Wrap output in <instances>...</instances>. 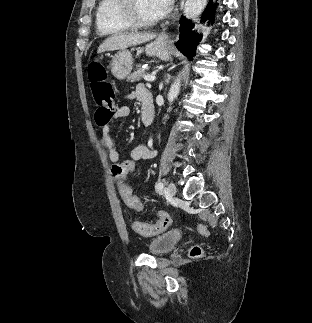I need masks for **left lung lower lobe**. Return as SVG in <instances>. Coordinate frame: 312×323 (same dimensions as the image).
I'll use <instances>...</instances> for the list:
<instances>
[{
	"mask_svg": "<svg viewBox=\"0 0 312 323\" xmlns=\"http://www.w3.org/2000/svg\"><path fill=\"white\" fill-rule=\"evenodd\" d=\"M219 3L210 1L202 14L200 23L206 26L213 25L215 22V14L217 13ZM180 37L176 43L177 48L186 55L189 59H192L196 54V48L198 43L202 40L203 34L198 31L196 26L191 21H187L184 17L180 19Z\"/></svg>",
	"mask_w": 312,
	"mask_h": 323,
	"instance_id": "1",
	"label": "left lung lower lobe"
}]
</instances>
